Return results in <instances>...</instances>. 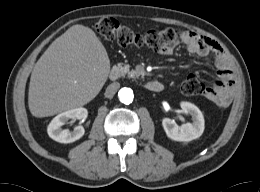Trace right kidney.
<instances>
[{
  "label": "right kidney",
  "mask_w": 260,
  "mask_h": 192,
  "mask_svg": "<svg viewBox=\"0 0 260 192\" xmlns=\"http://www.w3.org/2000/svg\"><path fill=\"white\" fill-rule=\"evenodd\" d=\"M87 116L88 111L83 107L70 109L58 114L52 119L47 127L49 137L60 143H72L80 139L85 132L82 126L75 127L73 131H70L69 129H62V126L65 125L70 119H78L83 122Z\"/></svg>",
  "instance_id": "ca27d5eb"
}]
</instances>
